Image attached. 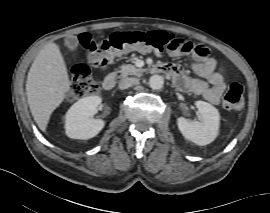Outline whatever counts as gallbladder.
I'll return each mask as SVG.
<instances>
[{
  "mask_svg": "<svg viewBox=\"0 0 270 213\" xmlns=\"http://www.w3.org/2000/svg\"><path fill=\"white\" fill-rule=\"evenodd\" d=\"M65 45L69 49L74 50L77 47V45H78V41H77V39H76L75 36L67 37L65 39Z\"/></svg>",
  "mask_w": 270,
  "mask_h": 213,
  "instance_id": "bac80fb5",
  "label": "gallbladder"
}]
</instances>
